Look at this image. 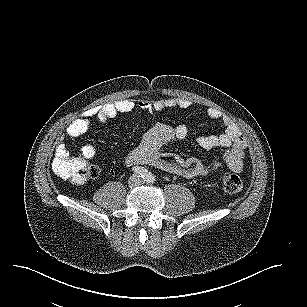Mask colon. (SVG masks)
<instances>
[{
	"label": "colon",
	"instance_id": "colon-1",
	"mask_svg": "<svg viewBox=\"0 0 307 307\" xmlns=\"http://www.w3.org/2000/svg\"><path fill=\"white\" fill-rule=\"evenodd\" d=\"M54 170L59 176L77 183L95 178L99 174L96 166L78 155L55 160ZM220 182L223 190L229 194L238 193L244 187L241 177L229 171L221 175Z\"/></svg>",
	"mask_w": 307,
	"mask_h": 307
}]
</instances>
